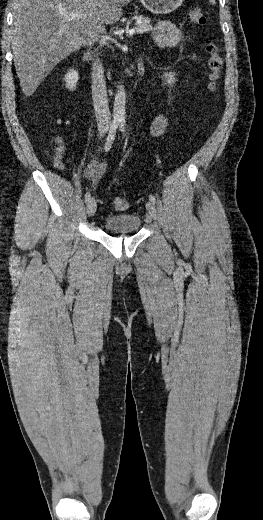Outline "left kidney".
I'll return each mask as SVG.
<instances>
[{"instance_id":"obj_1","label":"left kidney","mask_w":263,"mask_h":520,"mask_svg":"<svg viewBox=\"0 0 263 520\" xmlns=\"http://www.w3.org/2000/svg\"><path fill=\"white\" fill-rule=\"evenodd\" d=\"M165 77L167 78V83L172 84L175 81L174 75L172 73L165 74Z\"/></svg>"}]
</instances>
